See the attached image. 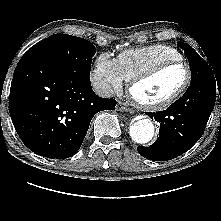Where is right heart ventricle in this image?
<instances>
[{"label": "right heart ventricle", "instance_id": "1", "mask_svg": "<svg viewBox=\"0 0 221 221\" xmlns=\"http://www.w3.org/2000/svg\"><path fill=\"white\" fill-rule=\"evenodd\" d=\"M182 59L183 56L176 48L165 44H154L125 50L118 55L116 61L123 79L130 81L158 63Z\"/></svg>", "mask_w": 221, "mask_h": 221}]
</instances>
